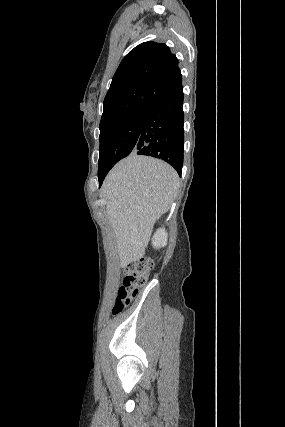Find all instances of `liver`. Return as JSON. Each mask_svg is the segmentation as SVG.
<instances>
[{
	"label": "liver",
	"mask_w": 285,
	"mask_h": 427,
	"mask_svg": "<svg viewBox=\"0 0 285 427\" xmlns=\"http://www.w3.org/2000/svg\"><path fill=\"white\" fill-rule=\"evenodd\" d=\"M179 176L166 162L130 154L106 176L102 195L114 231L120 267L145 255L155 222L177 193Z\"/></svg>",
	"instance_id": "liver-1"
}]
</instances>
